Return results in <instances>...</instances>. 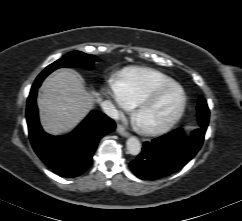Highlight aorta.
<instances>
[{
  "instance_id": "1",
  "label": "aorta",
  "mask_w": 242,
  "mask_h": 221,
  "mask_svg": "<svg viewBox=\"0 0 242 221\" xmlns=\"http://www.w3.org/2000/svg\"><path fill=\"white\" fill-rule=\"evenodd\" d=\"M126 146L131 155H138L141 151V143L136 137H130L127 140Z\"/></svg>"
}]
</instances>
